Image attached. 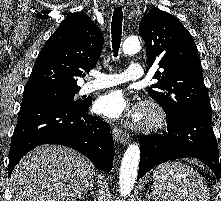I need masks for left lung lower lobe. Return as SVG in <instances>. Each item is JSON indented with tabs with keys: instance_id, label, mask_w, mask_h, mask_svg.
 <instances>
[{
	"instance_id": "1",
	"label": "left lung lower lobe",
	"mask_w": 221,
	"mask_h": 201,
	"mask_svg": "<svg viewBox=\"0 0 221 201\" xmlns=\"http://www.w3.org/2000/svg\"><path fill=\"white\" fill-rule=\"evenodd\" d=\"M167 134L143 135L138 179L165 161L194 157L209 166L219 179L221 164L212 116L208 111H193L177 120L167 119ZM221 162V160H220Z\"/></svg>"
}]
</instances>
